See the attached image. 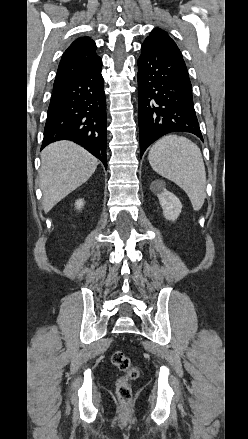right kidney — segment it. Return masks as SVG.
<instances>
[{
	"mask_svg": "<svg viewBox=\"0 0 248 439\" xmlns=\"http://www.w3.org/2000/svg\"><path fill=\"white\" fill-rule=\"evenodd\" d=\"M84 205V200L83 199H78L75 202V207L76 209L80 210Z\"/></svg>",
	"mask_w": 248,
	"mask_h": 439,
	"instance_id": "ca27d5eb",
	"label": "right kidney"
}]
</instances>
